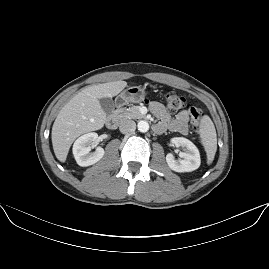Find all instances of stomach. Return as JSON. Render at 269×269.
Masks as SVG:
<instances>
[{
	"label": "stomach",
	"mask_w": 269,
	"mask_h": 269,
	"mask_svg": "<svg viewBox=\"0 0 269 269\" xmlns=\"http://www.w3.org/2000/svg\"><path fill=\"white\" fill-rule=\"evenodd\" d=\"M145 97V90L140 86H133L123 90L116 98L119 107L129 103H139Z\"/></svg>",
	"instance_id": "obj_1"
}]
</instances>
